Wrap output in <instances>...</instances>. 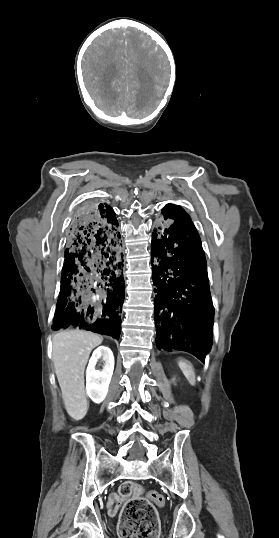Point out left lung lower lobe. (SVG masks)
Masks as SVG:
<instances>
[{
	"label": "left lung lower lobe",
	"instance_id": "left-lung-lower-lobe-1",
	"mask_svg": "<svg viewBox=\"0 0 279 538\" xmlns=\"http://www.w3.org/2000/svg\"><path fill=\"white\" fill-rule=\"evenodd\" d=\"M151 250L157 348L187 351L204 362L212 344L214 308L194 224L176 220L158 227Z\"/></svg>",
	"mask_w": 279,
	"mask_h": 538
}]
</instances>
